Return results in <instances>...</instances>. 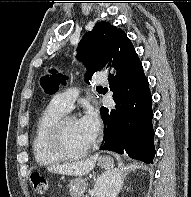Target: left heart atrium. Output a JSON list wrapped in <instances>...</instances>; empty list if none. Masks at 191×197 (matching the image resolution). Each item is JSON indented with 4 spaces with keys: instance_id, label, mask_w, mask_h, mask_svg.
<instances>
[{
    "instance_id": "39dd6f15",
    "label": "left heart atrium",
    "mask_w": 191,
    "mask_h": 197,
    "mask_svg": "<svg viewBox=\"0 0 191 197\" xmlns=\"http://www.w3.org/2000/svg\"><path fill=\"white\" fill-rule=\"evenodd\" d=\"M79 126L86 138L93 142L101 127L99 115L96 110L89 108L84 115L78 120Z\"/></svg>"
}]
</instances>
